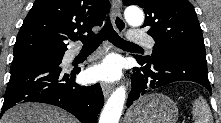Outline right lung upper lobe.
Instances as JSON below:
<instances>
[{
  "label": "right lung upper lobe",
  "mask_w": 221,
  "mask_h": 123,
  "mask_svg": "<svg viewBox=\"0 0 221 123\" xmlns=\"http://www.w3.org/2000/svg\"><path fill=\"white\" fill-rule=\"evenodd\" d=\"M108 0H36L18 33L14 55L64 53L66 40L92 35L101 26Z\"/></svg>",
  "instance_id": "1"
}]
</instances>
